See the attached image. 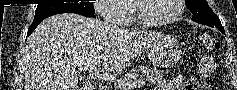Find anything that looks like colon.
I'll return each instance as SVG.
<instances>
[{
    "mask_svg": "<svg viewBox=\"0 0 237 90\" xmlns=\"http://www.w3.org/2000/svg\"><path fill=\"white\" fill-rule=\"evenodd\" d=\"M208 45L212 46L214 48H218V46H219L218 42H216L215 40H212V39H208Z\"/></svg>",
    "mask_w": 237,
    "mask_h": 90,
    "instance_id": "colon-1",
    "label": "colon"
}]
</instances>
